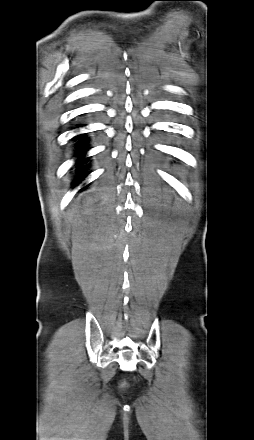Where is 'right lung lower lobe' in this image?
Here are the masks:
<instances>
[{
  "instance_id": "98d812e1",
  "label": "right lung lower lobe",
  "mask_w": 254,
  "mask_h": 440,
  "mask_svg": "<svg viewBox=\"0 0 254 440\" xmlns=\"http://www.w3.org/2000/svg\"><path fill=\"white\" fill-rule=\"evenodd\" d=\"M82 126V125H80ZM74 139L79 140V146H77V150H76V156L78 157V162L77 164H84L87 161L83 158V156L85 155L86 151L88 149H86L85 144H87V139L86 138H81L80 135L74 137ZM89 165H86V167H88ZM78 172V176L75 179V183L80 182L84 177H86L87 175V171L86 168L81 167L80 169L77 170Z\"/></svg>"
}]
</instances>
